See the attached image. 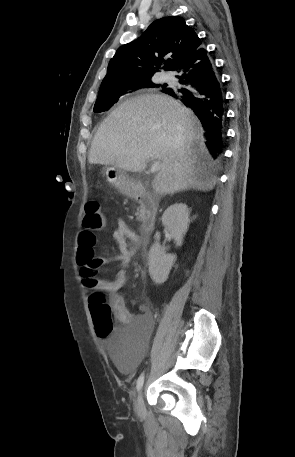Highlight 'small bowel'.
Segmentation results:
<instances>
[{
  "instance_id": "obj_1",
  "label": "small bowel",
  "mask_w": 295,
  "mask_h": 457,
  "mask_svg": "<svg viewBox=\"0 0 295 457\" xmlns=\"http://www.w3.org/2000/svg\"><path fill=\"white\" fill-rule=\"evenodd\" d=\"M112 236L118 244L120 253L113 257H97L94 253L96 235L89 229H83L78 237V262L80 259H85L88 263H92L96 270L111 262L118 263L119 269L114 280L99 283L102 288L112 293L111 304L119 322L112 338H127L135 332L148 334L153 327V313L150 306L143 304L141 313L134 314L128 310L124 298L120 294V290L128 280L125 268L142 247V241L140 236L120 218L117 220V226L113 230ZM84 282L88 287L95 285L94 281L84 280Z\"/></svg>"
}]
</instances>
